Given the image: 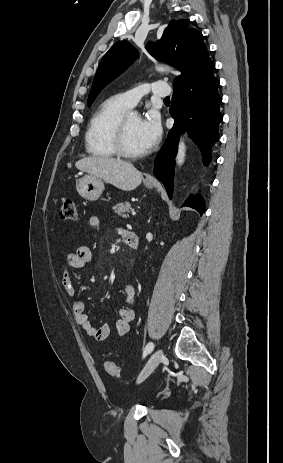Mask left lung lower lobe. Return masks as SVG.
I'll return each instance as SVG.
<instances>
[{"instance_id":"1","label":"left lung lower lobe","mask_w":283,"mask_h":463,"mask_svg":"<svg viewBox=\"0 0 283 463\" xmlns=\"http://www.w3.org/2000/svg\"><path fill=\"white\" fill-rule=\"evenodd\" d=\"M215 65L211 60L196 67L185 79L174 86L171 116L175 123L168 133L162 152L155 159V176L164 184L169 197L173 193L174 158L180 131H188L198 145L204 165L211 161V148L218 141V126L222 121L219 107V80L214 77ZM183 206L204 212L203 198L190 196Z\"/></svg>"}]
</instances>
